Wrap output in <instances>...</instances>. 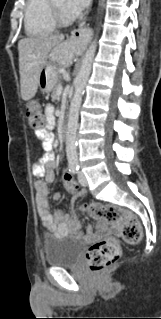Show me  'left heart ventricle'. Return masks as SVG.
I'll list each match as a JSON object with an SVG mask.
<instances>
[{"label":"left heart ventricle","mask_w":161,"mask_h":319,"mask_svg":"<svg viewBox=\"0 0 161 319\" xmlns=\"http://www.w3.org/2000/svg\"><path fill=\"white\" fill-rule=\"evenodd\" d=\"M55 4L66 16H72L66 8V0H55Z\"/></svg>","instance_id":"b2bd125f"}]
</instances>
